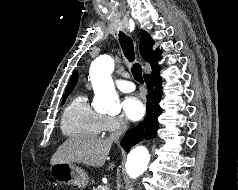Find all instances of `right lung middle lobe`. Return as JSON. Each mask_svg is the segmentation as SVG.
Here are the masks:
<instances>
[{
	"label": "right lung middle lobe",
	"mask_w": 238,
	"mask_h": 190,
	"mask_svg": "<svg viewBox=\"0 0 238 190\" xmlns=\"http://www.w3.org/2000/svg\"><path fill=\"white\" fill-rule=\"evenodd\" d=\"M70 94V92H68V93H65V95H64V97H63V102H62V104H64V102H65V99L68 97V95Z\"/></svg>",
	"instance_id": "1"
}]
</instances>
